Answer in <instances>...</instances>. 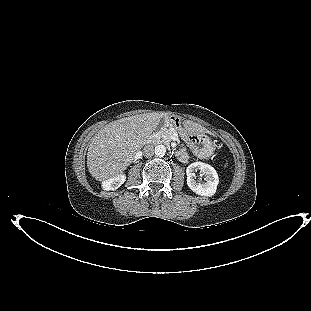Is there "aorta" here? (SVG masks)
I'll list each match as a JSON object with an SVG mask.
<instances>
[{
  "label": "aorta",
  "instance_id": "aorta-1",
  "mask_svg": "<svg viewBox=\"0 0 311 311\" xmlns=\"http://www.w3.org/2000/svg\"><path fill=\"white\" fill-rule=\"evenodd\" d=\"M154 152L156 156L163 157L166 154V147L164 145H157Z\"/></svg>",
  "mask_w": 311,
  "mask_h": 311
}]
</instances>
